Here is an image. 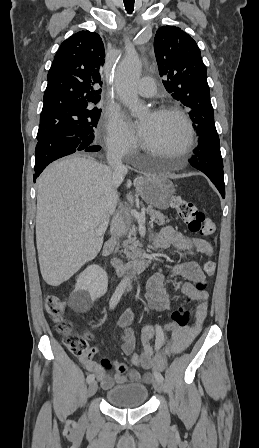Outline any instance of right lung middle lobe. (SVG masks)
<instances>
[{
	"mask_svg": "<svg viewBox=\"0 0 259 448\" xmlns=\"http://www.w3.org/2000/svg\"><path fill=\"white\" fill-rule=\"evenodd\" d=\"M101 109L88 106L69 112L41 114L37 140L53 136H74L84 147L95 144V128Z\"/></svg>",
	"mask_w": 259,
	"mask_h": 448,
	"instance_id": "right-lung-middle-lobe-1",
	"label": "right lung middle lobe"
}]
</instances>
